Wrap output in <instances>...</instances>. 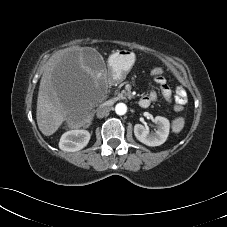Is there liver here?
<instances>
[{"label": "liver", "instance_id": "obj_1", "mask_svg": "<svg viewBox=\"0 0 227 227\" xmlns=\"http://www.w3.org/2000/svg\"><path fill=\"white\" fill-rule=\"evenodd\" d=\"M83 48L72 46L52 56L41 77L36 119L45 135L54 134L72 111V103L80 95L83 83L97 79V74L85 65Z\"/></svg>", "mask_w": 227, "mask_h": 227}]
</instances>
